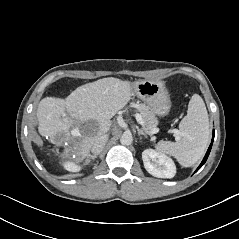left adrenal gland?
I'll list each match as a JSON object with an SVG mask.
<instances>
[{
    "mask_svg": "<svg viewBox=\"0 0 239 239\" xmlns=\"http://www.w3.org/2000/svg\"><path fill=\"white\" fill-rule=\"evenodd\" d=\"M137 131H138V135H144L145 138L147 137V134L142 129L137 128Z\"/></svg>",
    "mask_w": 239,
    "mask_h": 239,
    "instance_id": "1",
    "label": "left adrenal gland"
}]
</instances>
